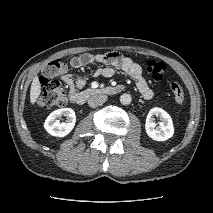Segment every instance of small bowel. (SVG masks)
<instances>
[{"label": "small bowel", "mask_w": 213, "mask_h": 213, "mask_svg": "<svg viewBox=\"0 0 213 213\" xmlns=\"http://www.w3.org/2000/svg\"><path fill=\"white\" fill-rule=\"evenodd\" d=\"M100 64L93 73L95 77L102 76L110 78L115 74V68H119L125 75L136 81L137 88L144 99H151L153 91L148 85L140 64L131 58L121 55L118 52H108L103 54L84 53L74 56L70 60L73 68H81L89 65ZM62 81L69 89V98L75 103V98L79 90L83 88L87 82L85 78L76 77L71 73L62 75Z\"/></svg>", "instance_id": "obj_1"}]
</instances>
